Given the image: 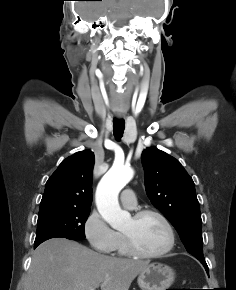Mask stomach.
I'll return each mask as SVG.
<instances>
[{"label": "stomach", "mask_w": 236, "mask_h": 290, "mask_svg": "<svg viewBox=\"0 0 236 290\" xmlns=\"http://www.w3.org/2000/svg\"><path fill=\"white\" fill-rule=\"evenodd\" d=\"M175 280L174 270L161 263L149 264L138 275V285L142 290H166Z\"/></svg>", "instance_id": "obj_1"}]
</instances>
